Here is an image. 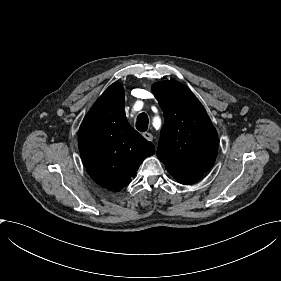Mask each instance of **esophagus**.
<instances>
[{
    "instance_id": "1",
    "label": "esophagus",
    "mask_w": 281,
    "mask_h": 281,
    "mask_svg": "<svg viewBox=\"0 0 281 281\" xmlns=\"http://www.w3.org/2000/svg\"><path fill=\"white\" fill-rule=\"evenodd\" d=\"M142 135H143V137L146 138L148 141H152V140H153V135H152L151 133L143 132Z\"/></svg>"
}]
</instances>
